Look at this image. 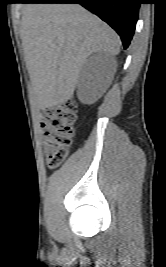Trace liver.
<instances>
[{
  "label": "liver",
  "instance_id": "obj_1",
  "mask_svg": "<svg viewBox=\"0 0 166 267\" xmlns=\"http://www.w3.org/2000/svg\"><path fill=\"white\" fill-rule=\"evenodd\" d=\"M21 39L39 109L67 102L87 57L120 52L121 41L105 22L78 4H28Z\"/></svg>",
  "mask_w": 166,
  "mask_h": 267
}]
</instances>
